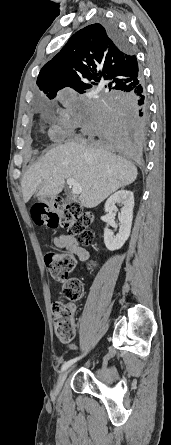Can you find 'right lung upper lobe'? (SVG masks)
I'll use <instances>...</instances> for the list:
<instances>
[{"label":"right lung upper lobe","mask_w":171,"mask_h":445,"mask_svg":"<svg viewBox=\"0 0 171 445\" xmlns=\"http://www.w3.org/2000/svg\"><path fill=\"white\" fill-rule=\"evenodd\" d=\"M105 81L109 93L129 92L142 82L137 58L129 47H119L104 25H89L77 31L61 51L41 69L37 85L50 99L58 90L71 87L83 93Z\"/></svg>","instance_id":"obj_1"}]
</instances>
